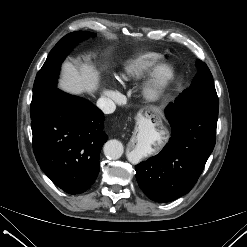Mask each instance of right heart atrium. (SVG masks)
<instances>
[{
	"mask_svg": "<svg viewBox=\"0 0 247 247\" xmlns=\"http://www.w3.org/2000/svg\"><path fill=\"white\" fill-rule=\"evenodd\" d=\"M103 93L105 96L112 98V99H117L119 97V92L113 87L105 88Z\"/></svg>",
	"mask_w": 247,
	"mask_h": 247,
	"instance_id": "1",
	"label": "right heart atrium"
}]
</instances>
